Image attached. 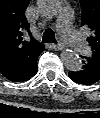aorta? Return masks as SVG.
<instances>
[{"label": "aorta", "instance_id": "obj_1", "mask_svg": "<svg viewBox=\"0 0 100 118\" xmlns=\"http://www.w3.org/2000/svg\"><path fill=\"white\" fill-rule=\"evenodd\" d=\"M61 0H37V7L41 14L54 16L61 8ZM61 61L70 71H79L82 68L80 57L72 50L66 49L61 52Z\"/></svg>", "mask_w": 100, "mask_h": 118}]
</instances>
